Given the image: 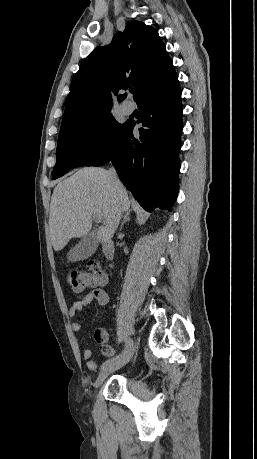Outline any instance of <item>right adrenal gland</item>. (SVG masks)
<instances>
[{
    "mask_svg": "<svg viewBox=\"0 0 257 459\" xmlns=\"http://www.w3.org/2000/svg\"><path fill=\"white\" fill-rule=\"evenodd\" d=\"M129 215H130V211H127V212L124 213V215H123V217H122V218H123V221H122V223H121L120 230H122V228H123V226H124V224H125L126 222L130 221Z\"/></svg>",
    "mask_w": 257,
    "mask_h": 459,
    "instance_id": "2a0ac1e0",
    "label": "right adrenal gland"
}]
</instances>
